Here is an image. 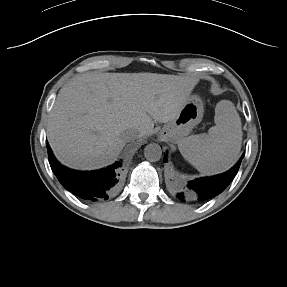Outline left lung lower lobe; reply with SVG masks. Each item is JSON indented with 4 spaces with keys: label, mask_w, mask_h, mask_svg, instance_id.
I'll list each match as a JSON object with an SVG mask.
<instances>
[{
    "label": "left lung lower lobe",
    "mask_w": 287,
    "mask_h": 287,
    "mask_svg": "<svg viewBox=\"0 0 287 287\" xmlns=\"http://www.w3.org/2000/svg\"><path fill=\"white\" fill-rule=\"evenodd\" d=\"M241 156L237 164L229 171L213 177L198 178L188 181L184 188H172V192L180 200H190L202 202L220 194L229 185L231 180L237 174L241 160ZM164 162H167V157L164 155Z\"/></svg>",
    "instance_id": "1"
}]
</instances>
